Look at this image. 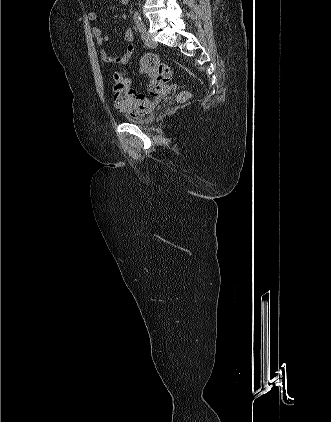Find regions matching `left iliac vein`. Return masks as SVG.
<instances>
[{"mask_svg": "<svg viewBox=\"0 0 331 422\" xmlns=\"http://www.w3.org/2000/svg\"><path fill=\"white\" fill-rule=\"evenodd\" d=\"M142 39L147 47L155 48L157 46V43L154 41L147 30L142 32Z\"/></svg>", "mask_w": 331, "mask_h": 422, "instance_id": "obj_1", "label": "left iliac vein"}]
</instances>
